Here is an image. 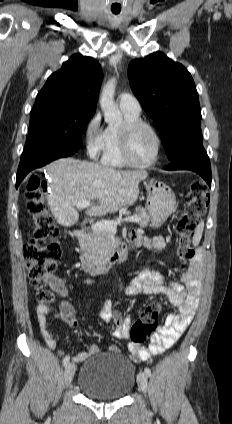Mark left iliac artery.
<instances>
[{
	"instance_id": "44dca946",
	"label": "left iliac artery",
	"mask_w": 232,
	"mask_h": 424,
	"mask_svg": "<svg viewBox=\"0 0 232 424\" xmlns=\"http://www.w3.org/2000/svg\"><path fill=\"white\" fill-rule=\"evenodd\" d=\"M144 372H145V374L148 376V377H150L151 376V370L149 369V368H145L144 369Z\"/></svg>"
}]
</instances>
